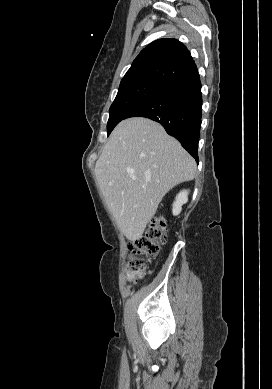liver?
Masks as SVG:
<instances>
[{
	"instance_id": "6515ba94",
	"label": "liver",
	"mask_w": 272,
	"mask_h": 389,
	"mask_svg": "<svg viewBox=\"0 0 272 389\" xmlns=\"http://www.w3.org/2000/svg\"><path fill=\"white\" fill-rule=\"evenodd\" d=\"M196 168L195 160L160 124L134 117L115 127L96 162L95 175L120 231L135 241L166 193L193 180Z\"/></svg>"
}]
</instances>
